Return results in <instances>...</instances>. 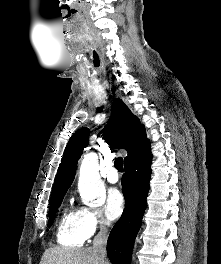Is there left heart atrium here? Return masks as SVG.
Instances as JSON below:
<instances>
[{
	"label": "left heart atrium",
	"mask_w": 221,
	"mask_h": 264,
	"mask_svg": "<svg viewBox=\"0 0 221 264\" xmlns=\"http://www.w3.org/2000/svg\"><path fill=\"white\" fill-rule=\"evenodd\" d=\"M124 209V197L122 193L116 189H111L106 197L105 213L108 219L114 220L118 218Z\"/></svg>",
	"instance_id": "left-heart-atrium-1"
}]
</instances>
